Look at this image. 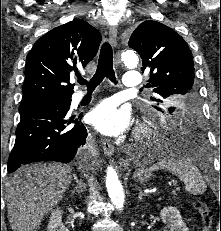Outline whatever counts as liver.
<instances>
[{"label":"liver","instance_id":"liver-1","mask_svg":"<svg viewBox=\"0 0 221 231\" xmlns=\"http://www.w3.org/2000/svg\"><path fill=\"white\" fill-rule=\"evenodd\" d=\"M72 169L58 163L19 168L4 183L8 219L13 231H36L46 213L63 198Z\"/></svg>","mask_w":221,"mask_h":231}]
</instances>
